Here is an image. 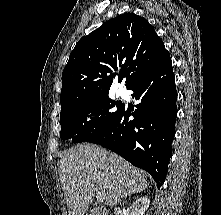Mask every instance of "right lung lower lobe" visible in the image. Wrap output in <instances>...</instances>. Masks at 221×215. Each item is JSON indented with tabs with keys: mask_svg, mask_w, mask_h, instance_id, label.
Instances as JSON below:
<instances>
[{
	"mask_svg": "<svg viewBox=\"0 0 221 215\" xmlns=\"http://www.w3.org/2000/svg\"><path fill=\"white\" fill-rule=\"evenodd\" d=\"M128 89L134 91L137 109H123L113 125L88 142L100 144L133 165L146 170L158 188L165 180L177 116V91L171 58L136 80ZM133 116V120H129Z\"/></svg>",
	"mask_w": 221,
	"mask_h": 215,
	"instance_id": "right-lung-lower-lobe-1",
	"label": "right lung lower lobe"
}]
</instances>
